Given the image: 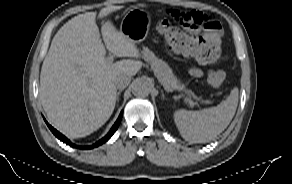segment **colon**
Wrapping results in <instances>:
<instances>
[{
  "label": "colon",
  "mask_w": 292,
  "mask_h": 184,
  "mask_svg": "<svg viewBox=\"0 0 292 184\" xmlns=\"http://www.w3.org/2000/svg\"><path fill=\"white\" fill-rule=\"evenodd\" d=\"M170 16L174 22L191 30L215 28L216 25L215 20L198 11L173 10L170 12ZM158 30L172 49L195 57L201 63L213 64L222 58V52L218 46L202 38L183 33L169 20L160 21ZM224 80L225 73L221 70H212L207 75V82L216 89L222 87Z\"/></svg>",
  "instance_id": "colon-1"
}]
</instances>
